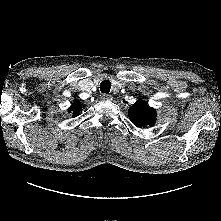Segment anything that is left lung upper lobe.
<instances>
[{"instance_id":"1","label":"left lung upper lobe","mask_w":221,"mask_h":221,"mask_svg":"<svg viewBox=\"0 0 221 221\" xmlns=\"http://www.w3.org/2000/svg\"><path fill=\"white\" fill-rule=\"evenodd\" d=\"M128 115L131 122L140 128L151 127L156 121V111L142 99H139L129 108Z\"/></svg>"}]
</instances>
